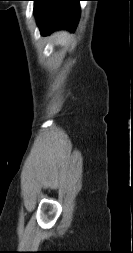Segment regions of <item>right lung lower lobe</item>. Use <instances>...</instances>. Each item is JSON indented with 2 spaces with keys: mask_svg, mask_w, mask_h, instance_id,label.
<instances>
[{
  "mask_svg": "<svg viewBox=\"0 0 133 253\" xmlns=\"http://www.w3.org/2000/svg\"><path fill=\"white\" fill-rule=\"evenodd\" d=\"M34 13L43 35L58 29L73 32L80 16L81 0H33Z\"/></svg>",
  "mask_w": 133,
  "mask_h": 253,
  "instance_id": "98d812e1",
  "label": "right lung lower lobe"
}]
</instances>
